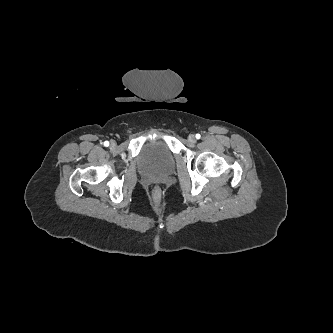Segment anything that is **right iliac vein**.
<instances>
[{
  "label": "right iliac vein",
  "mask_w": 333,
  "mask_h": 333,
  "mask_svg": "<svg viewBox=\"0 0 333 333\" xmlns=\"http://www.w3.org/2000/svg\"><path fill=\"white\" fill-rule=\"evenodd\" d=\"M116 143L114 141L111 142V148H115Z\"/></svg>",
  "instance_id": "63e3f726"
}]
</instances>
